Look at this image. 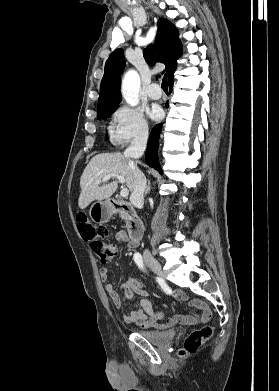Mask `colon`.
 Listing matches in <instances>:
<instances>
[{
  "label": "colon",
  "mask_w": 279,
  "mask_h": 391,
  "mask_svg": "<svg viewBox=\"0 0 279 391\" xmlns=\"http://www.w3.org/2000/svg\"><path fill=\"white\" fill-rule=\"evenodd\" d=\"M78 230L81 237L89 242L93 253L101 263L111 262L118 254L117 244L107 240L108 230L103 226L94 225L84 214L78 216ZM212 335L213 328L210 325L191 331L184 341L180 355L194 353Z\"/></svg>",
  "instance_id": "5ec220e1"
}]
</instances>
